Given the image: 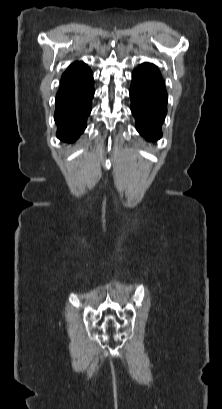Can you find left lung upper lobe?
Here are the masks:
<instances>
[{
  "instance_id": "obj_1",
  "label": "left lung upper lobe",
  "mask_w": 222,
  "mask_h": 409,
  "mask_svg": "<svg viewBox=\"0 0 222 409\" xmlns=\"http://www.w3.org/2000/svg\"><path fill=\"white\" fill-rule=\"evenodd\" d=\"M138 68L160 75V72H159L158 68L156 66H154L153 64L144 63V64L140 65Z\"/></svg>"
}]
</instances>
